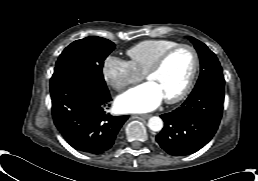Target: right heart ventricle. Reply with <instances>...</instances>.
Returning <instances> with one entry per match:
<instances>
[{
	"mask_svg": "<svg viewBox=\"0 0 258 181\" xmlns=\"http://www.w3.org/2000/svg\"><path fill=\"white\" fill-rule=\"evenodd\" d=\"M178 43L168 39L141 41L127 50L129 62L140 74L145 75L156 59L167 49Z\"/></svg>",
	"mask_w": 258,
	"mask_h": 181,
	"instance_id": "obj_1",
	"label": "right heart ventricle"
}]
</instances>
